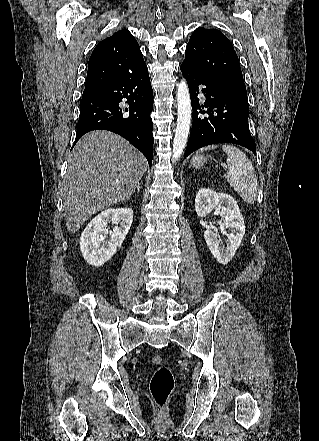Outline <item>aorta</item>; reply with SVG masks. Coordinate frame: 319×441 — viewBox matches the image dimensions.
<instances>
[{"instance_id": "1", "label": "aorta", "mask_w": 319, "mask_h": 441, "mask_svg": "<svg viewBox=\"0 0 319 441\" xmlns=\"http://www.w3.org/2000/svg\"><path fill=\"white\" fill-rule=\"evenodd\" d=\"M178 119L173 142V161L178 160L185 149L191 124V101L188 85L183 79L177 89Z\"/></svg>"}]
</instances>
